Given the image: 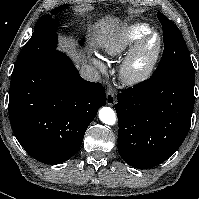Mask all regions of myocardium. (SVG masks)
Returning a JSON list of instances; mask_svg holds the SVG:
<instances>
[{
    "mask_svg": "<svg viewBox=\"0 0 199 199\" xmlns=\"http://www.w3.org/2000/svg\"><path fill=\"white\" fill-rule=\"evenodd\" d=\"M152 38H156L155 47L148 58L143 63H140L141 54ZM162 47L163 40L158 32L151 31L147 33L134 44L125 57L121 66L122 76L130 83L147 79L155 69L162 52Z\"/></svg>",
    "mask_w": 199,
    "mask_h": 199,
    "instance_id": "myocardium-1",
    "label": "myocardium"
}]
</instances>
